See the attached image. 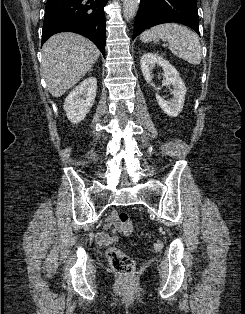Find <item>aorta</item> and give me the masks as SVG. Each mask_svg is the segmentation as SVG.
<instances>
[{
  "mask_svg": "<svg viewBox=\"0 0 245 314\" xmlns=\"http://www.w3.org/2000/svg\"><path fill=\"white\" fill-rule=\"evenodd\" d=\"M140 0H123V16L126 20L132 19L139 7Z\"/></svg>",
  "mask_w": 245,
  "mask_h": 314,
  "instance_id": "aorta-1",
  "label": "aorta"
}]
</instances>
